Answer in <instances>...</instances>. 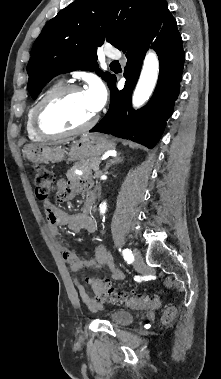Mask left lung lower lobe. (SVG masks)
<instances>
[{
    "mask_svg": "<svg viewBox=\"0 0 221 379\" xmlns=\"http://www.w3.org/2000/svg\"><path fill=\"white\" fill-rule=\"evenodd\" d=\"M149 47L159 56L158 83L147 105L135 111L131 108V96ZM121 50L127 58L124 89L118 91L115 87L116 78L109 85V110L90 132L111 134L152 148L172 115L174 101L179 94L184 63L182 39L176 20L168 10L165 0L159 4L142 31L129 38Z\"/></svg>",
    "mask_w": 221,
    "mask_h": 379,
    "instance_id": "1",
    "label": "left lung lower lobe"
}]
</instances>
